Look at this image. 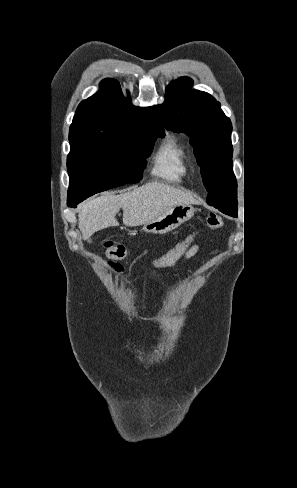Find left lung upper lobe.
Returning a JSON list of instances; mask_svg holds the SVG:
<instances>
[{
  "label": "left lung upper lobe",
  "instance_id": "5c2ea615",
  "mask_svg": "<svg viewBox=\"0 0 297 488\" xmlns=\"http://www.w3.org/2000/svg\"><path fill=\"white\" fill-rule=\"evenodd\" d=\"M193 81L181 77L166 89L163 104L154 109L167 130L190 137L207 203L225 214L237 216V182L232 169V124L210 94L189 90Z\"/></svg>",
  "mask_w": 297,
  "mask_h": 488
}]
</instances>
